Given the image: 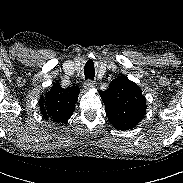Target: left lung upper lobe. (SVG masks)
<instances>
[{
    "label": "left lung upper lobe",
    "mask_w": 183,
    "mask_h": 183,
    "mask_svg": "<svg viewBox=\"0 0 183 183\" xmlns=\"http://www.w3.org/2000/svg\"><path fill=\"white\" fill-rule=\"evenodd\" d=\"M109 122L119 130H128L140 122L146 111L142 90L125 75L114 79L100 92Z\"/></svg>",
    "instance_id": "left-lung-upper-lobe-1"
}]
</instances>
